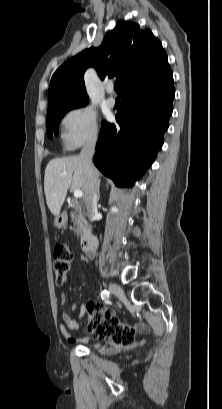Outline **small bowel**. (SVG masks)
Masks as SVG:
<instances>
[{
    "mask_svg": "<svg viewBox=\"0 0 222 409\" xmlns=\"http://www.w3.org/2000/svg\"><path fill=\"white\" fill-rule=\"evenodd\" d=\"M89 258L93 259L94 255H89ZM60 302L62 305H66L68 302V296L66 294H62L60 297ZM77 306H74V308H76ZM79 313H78V317L74 318L70 312L65 311L62 314V320H63V324L60 325V331L62 332L64 338L70 342V343H76V342H84L87 338H82V339H76L72 333L70 331H75L79 328V323H78V319L81 318L85 312H86V307L84 305H80L79 307ZM112 317L115 319H118L115 315L112 314ZM119 320V319H118ZM122 323V322H121ZM124 326L131 328L135 332H139L142 333L144 331H146V329L144 328L143 325L138 324L136 326H131L130 324H126V323H122ZM135 346V342H134V338L133 340H131L130 342H128L127 344H117L116 342L112 341V340H108L107 342L103 343V344H99L97 346L98 351L101 354H105V355H111V354H115L118 352H121L124 348L126 347H134Z\"/></svg>",
    "mask_w": 222,
    "mask_h": 409,
    "instance_id": "c3829d8e",
    "label": "small bowel"
}]
</instances>
